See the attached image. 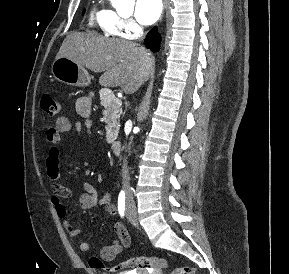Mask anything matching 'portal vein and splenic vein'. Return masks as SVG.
Returning a JSON list of instances; mask_svg holds the SVG:
<instances>
[{"label": "portal vein and splenic vein", "instance_id": "1", "mask_svg": "<svg viewBox=\"0 0 289 274\" xmlns=\"http://www.w3.org/2000/svg\"><path fill=\"white\" fill-rule=\"evenodd\" d=\"M116 102H117V103H121V100L117 99Z\"/></svg>", "mask_w": 289, "mask_h": 274}]
</instances>
